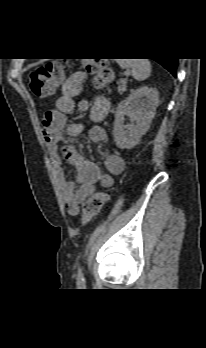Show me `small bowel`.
<instances>
[{"instance_id":"obj_1","label":"small bowel","mask_w":206,"mask_h":348,"mask_svg":"<svg viewBox=\"0 0 206 348\" xmlns=\"http://www.w3.org/2000/svg\"><path fill=\"white\" fill-rule=\"evenodd\" d=\"M87 78V74L82 71L68 77L62 86L60 96L56 99L55 108L46 111L42 119V135L49 150L54 174L62 189L66 209L72 216L78 214L81 203L95 190L97 184L105 188L111 187L114 184L113 176L122 174L125 169V161L118 154L109 153L105 156L104 165L107 172H103L75 148L61 147L64 128L70 137H76L83 132L85 127H88V136L91 141L106 142V132L100 123L108 113V100L104 97H97L92 105L86 99L75 101V98L82 92ZM75 110L88 112V120L68 123L66 115ZM63 162L73 168L79 183L78 187L66 179L62 167Z\"/></svg>"}]
</instances>
